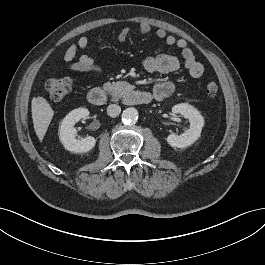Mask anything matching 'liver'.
<instances>
[{
  "instance_id": "1",
  "label": "liver",
  "mask_w": 265,
  "mask_h": 265,
  "mask_svg": "<svg viewBox=\"0 0 265 265\" xmlns=\"http://www.w3.org/2000/svg\"><path fill=\"white\" fill-rule=\"evenodd\" d=\"M31 111L34 130L38 139L42 141L53 118L54 111L43 97H34L32 99Z\"/></svg>"
}]
</instances>
